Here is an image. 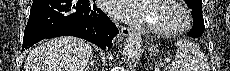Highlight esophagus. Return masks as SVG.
Listing matches in <instances>:
<instances>
[{"label":"esophagus","instance_id":"esophagus-1","mask_svg":"<svg viewBox=\"0 0 230 71\" xmlns=\"http://www.w3.org/2000/svg\"><path fill=\"white\" fill-rule=\"evenodd\" d=\"M131 31H132L131 28H129L127 26H124L121 28V34L124 37H127L131 33Z\"/></svg>","mask_w":230,"mask_h":71}]
</instances>
